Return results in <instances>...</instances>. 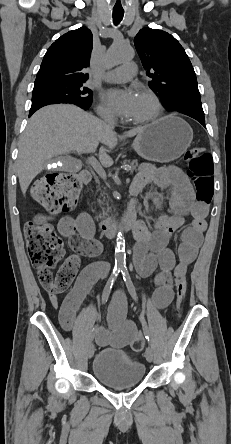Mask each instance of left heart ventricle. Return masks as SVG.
Masks as SVG:
<instances>
[{
	"label": "left heart ventricle",
	"instance_id": "1",
	"mask_svg": "<svg viewBox=\"0 0 231 444\" xmlns=\"http://www.w3.org/2000/svg\"><path fill=\"white\" fill-rule=\"evenodd\" d=\"M154 112V106L151 100L138 94L135 107L129 119H140L151 115Z\"/></svg>",
	"mask_w": 231,
	"mask_h": 444
}]
</instances>
